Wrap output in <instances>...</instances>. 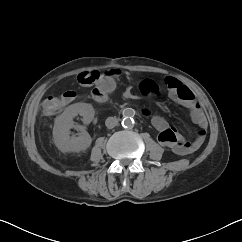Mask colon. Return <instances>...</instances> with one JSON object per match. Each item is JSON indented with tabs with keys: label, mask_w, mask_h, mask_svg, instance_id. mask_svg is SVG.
Masks as SVG:
<instances>
[{
	"label": "colon",
	"mask_w": 242,
	"mask_h": 242,
	"mask_svg": "<svg viewBox=\"0 0 242 242\" xmlns=\"http://www.w3.org/2000/svg\"><path fill=\"white\" fill-rule=\"evenodd\" d=\"M99 78V73H84L81 76V82L85 84H93ZM141 91L146 94H152L158 92V87L153 82H144L140 86ZM180 92L186 95V91L184 88H180ZM108 93L105 90H101L95 96L96 99L102 100L104 99ZM69 101V97L66 93L61 95L49 96L43 102V109L48 114H53L61 110Z\"/></svg>",
	"instance_id": "1"
}]
</instances>
